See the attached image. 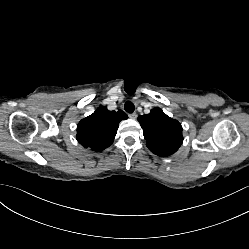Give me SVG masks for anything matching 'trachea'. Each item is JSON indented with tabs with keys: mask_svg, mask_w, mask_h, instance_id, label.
<instances>
[{
	"mask_svg": "<svg viewBox=\"0 0 249 249\" xmlns=\"http://www.w3.org/2000/svg\"><path fill=\"white\" fill-rule=\"evenodd\" d=\"M124 109L128 113H133L135 110V106L131 101H127L124 105Z\"/></svg>",
	"mask_w": 249,
	"mask_h": 249,
	"instance_id": "3493384b",
	"label": "trachea"
}]
</instances>
